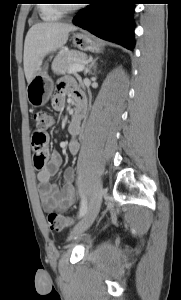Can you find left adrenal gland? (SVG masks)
<instances>
[{
	"mask_svg": "<svg viewBox=\"0 0 181 300\" xmlns=\"http://www.w3.org/2000/svg\"><path fill=\"white\" fill-rule=\"evenodd\" d=\"M97 59H98V57L90 61V64L88 66V73L89 74H92V68L94 67L95 62L97 61Z\"/></svg>",
	"mask_w": 181,
	"mask_h": 300,
	"instance_id": "left-adrenal-gland-1",
	"label": "left adrenal gland"
}]
</instances>
